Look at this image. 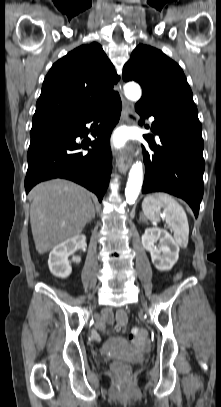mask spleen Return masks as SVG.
I'll return each instance as SVG.
<instances>
[{
	"label": "spleen",
	"mask_w": 221,
	"mask_h": 407,
	"mask_svg": "<svg viewBox=\"0 0 221 407\" xmlns=\"http://www.w3.org/2000/svg\"><path fill=\"white\" fill-rule=\"evenodd\" d=\"M163 212L161 213V209ZM145 216L154 222H159L161 216L174 232L178 245L187 247L189 239V224L183 207L169 194L154 193L147 195L142 202Z\"/></svg>",
	"instance_id": "obj_1"
}]
</instances>
